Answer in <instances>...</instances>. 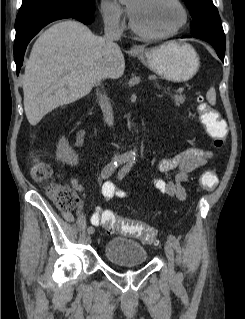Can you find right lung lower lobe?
<instances>
[{"instance_id":"right-lung-lower-lobe-1","label":"right lung lower lobe","mask_w":245,"mask_h":319,"mask_svg":"<svg viewBox=\"0 0 245 319\" xmlns=\"http://www.w3.org/2000/svg\"><path fill=\"white\" fill-rule=\"evenodd\" d=\"M94 9L77 10L64 6H53L17 15L15 22L16 37L14 42V59L16 73L19 75L24 53L30 40L47 24L63 18H75L85 24L94 20Z\"/></svg>"}]
</instances>
